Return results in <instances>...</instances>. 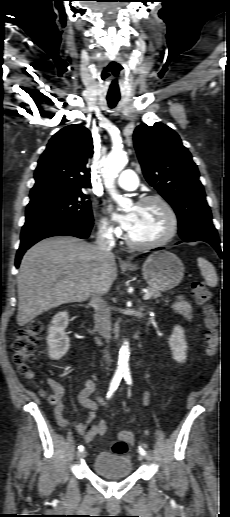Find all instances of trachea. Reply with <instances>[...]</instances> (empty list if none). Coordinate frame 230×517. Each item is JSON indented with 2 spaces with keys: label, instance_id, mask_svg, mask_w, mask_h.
<instances>
[{
  "label": "trachea",
  "instance_id": "1",
  "mask_svg": "<svg viewBox=\"0 0 230 517\" xmlns=\"http://www.w3.org/2000/svg\"><path fill=\"white\" fill-rule=\"evenodd\" d=\"M119 100H120L119 96H115V95H111V94L107 95V102L111 109L117 105Z\"/></svg>",
  "mask_w": 230,
  "mask_h": 517
}]
</instances>
